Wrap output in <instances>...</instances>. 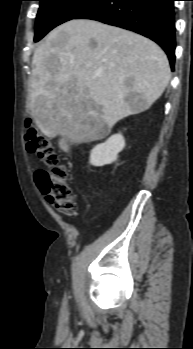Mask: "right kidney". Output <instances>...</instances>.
<instances>
[{
  "mask_svg": "<svg viewBox=\"0 0 193 349\" xmlns=\"http://www.w3.org/2000/svg\"><path fill=\"white\" fill-rule=\"evenodd\" d=\"M125 147V140L121 133L114 134L104 143L96 145L90 154V164L104 166L116 161L118 153Z\"/></svg>",
  "mask_w": 193,
  "mask_h": 349,
  "instance_id": "right-kidney-1",
  "label": "right kidney"
}]
</instances>
